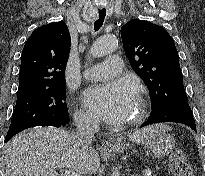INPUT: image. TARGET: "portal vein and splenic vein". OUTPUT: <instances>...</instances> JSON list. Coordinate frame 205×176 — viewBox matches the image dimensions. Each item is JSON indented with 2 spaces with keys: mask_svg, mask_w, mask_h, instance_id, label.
I'll use <instances>...</instances> for the list:
<instances>
[{
  "mask_svg": "<svg viewBox=\"0 0 205 176\" xmlns=\"http://www.w3.org/2000/svg\"><path fill=\"white\" fill-rule=\"evenodd\" d=\"M64 176H80V175L69 170H64Z\"/></svg>",
  "mask_w": 205,
  "mask_h": 176,
  "instance_id": "18ae733b",
  "label": "portal vein and splenic vein"
}]
</instances>
